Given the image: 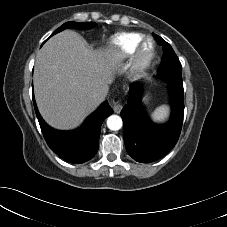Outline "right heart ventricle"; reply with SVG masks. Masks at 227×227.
Masks as SVG:
<instances>
[{"instance_id": "right-heart-ventricle-1", "label": "right heart ventricle", "mask_w": 227, "mask_h": 227, "mask_svg": "<svg viewBox=\"0 0 227 227\" xmlns=\"http://www.w3.org/2000/svg\"><path fill=\"white\" fill-rule=\"evenodd\" d=\"M144 38L137 32L120 33L110 41V52L115 60H122L131 56Z\"/></svg>"}]
</instances>
